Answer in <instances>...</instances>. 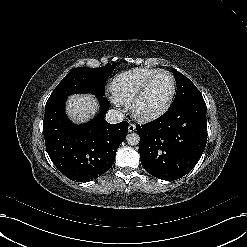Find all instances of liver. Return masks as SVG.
Masks as SVG:
<instances>
[{
  "instance_id": "6515ba94",
  "label": "liver",
  "mask_w": 247,
  "mask_h": 247,
  "mask_svg": "<svg viewBox=\"0 0 247 247\" xmlns=\"http://www.w3.org/2000/svg\"><path fill=\"white\" fill-rule=\"evenodd\" d=\"M98 112L97 100L89 94H75L69 97L66 113L74 123H84Z\"/></svg>"
}]
</instances>
